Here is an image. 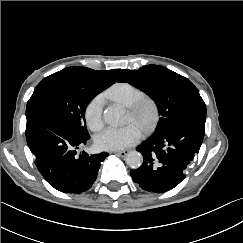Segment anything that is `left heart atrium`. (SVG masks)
Masks as SVG:
<instances>
[{
	"label": "left heart atrium",
	"instance_id": "39dd6f15",
	"mask_svg": "<svg viewBox=\"0 0 243 243\" xmlns=\"http://www.w3.org/2000/svg\"><path fill=\"white\" fill-rule=\"evenodd\" d=\"M142 137V128L130 122L123 127H108L96 138L102 150H121L137 143Z\"/></svg>",
	"mask_w": 243,
	"mask_h": 243
}]
</instances>
